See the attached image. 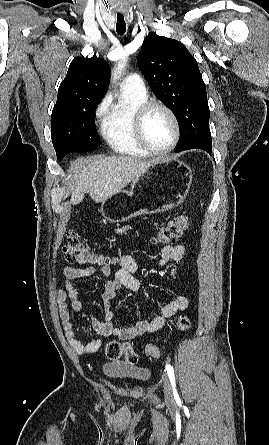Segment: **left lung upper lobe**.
Masks as SVG:
<instances>
[{
  "mask_svg": "<svg viewBox=\"0 0 269 445\" xmlns=\"http://www.w3.org/2000/svg\"><path fill=\"white\" fill-rule=\"evenodd\" d=\"M137 63L154 94L177 118L181 137L175 151L203 149L211 154L206 87L196 59L185 45L150 32Z\"/></svg>",
  "mask_w": 269,
  "mask_h": 445,
  "instance_id": "1",
  "label": "left lung upper lobe"
}]
</instances>
